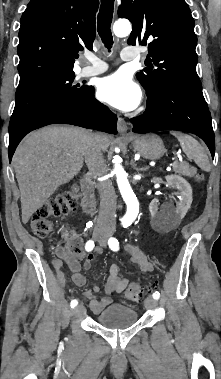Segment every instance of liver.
<instances>
[{"label": "liver", "instance_id": "6515ba94", "mask_svg": "<svg viewBox=\"0 0 221 379\" xmlns=\"http://www.w3.org/2000/svg\"><path fill=\"white\" fill-rule=\"evenodd\" d=\"M89 131L77 127L48 126L27 135L17 147L13 165L21 193L22 222L42 207L83 166ZM102 151L110 141L98 134Z\"/></svg>", "mask_w": 221, "mask_h": 379}]
</instances>
